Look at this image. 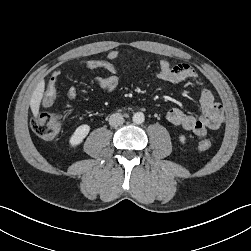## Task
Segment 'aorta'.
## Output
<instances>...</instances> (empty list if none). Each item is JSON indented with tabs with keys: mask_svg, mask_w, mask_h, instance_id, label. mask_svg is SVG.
Instances as JSON below:
<instances>
[{
	"mask_svg": "<svg viewBox=\"0 0 251 251\" xmlns=\"http://www.w3.org/2000/svg\"><path fill=\"white\" fill-rule=\"evenodd\" d=\"M132 120L136 124H141L145 120V116L142 112H137L133 115Z\"/></svg>",
	"mask_w": 251,
	"mask_h": 251,
	"instance_id": "aorta-1",
	"label": "aorta"
}]
</instances>
